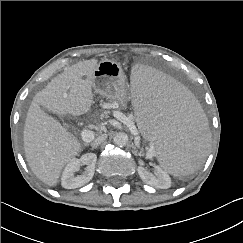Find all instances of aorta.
<instances>
[{
    "instance_id": "762f6f07",
    "label": "aorta",
    "mask_w": 243,
    "mask_h": 243,
    "mask_svg": "<svg viewBox=\"0 0 243 243\" xmlns=\"http://www.w3.org/2000/svg\"><path fill=\"white\" fill-rule=\"evenodd\" d=\"M129 137L125 132H118L115 134L113 138V142L115 145L119 147L126 146L128 144Z\"/></svg>"
}]
</instances>
